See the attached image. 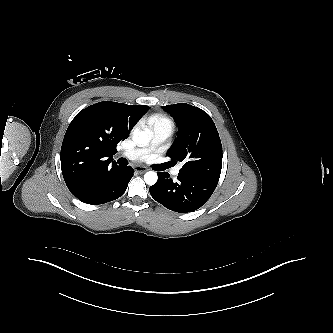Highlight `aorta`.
I'll return each mask as SVG.
<instances>
[{
    "instance_id": "aorta-1",
    "label": "aorta",
    "mask_w": 333,
    "mask_h": 333,
    "mask_svg": "<svg viewBox=\"0 0 333 333\" xmlns=\"http://www.w3.org/2000/svg\"><path fill=\"white\" fill-rule=\"evenodd\" d=\"M150 136L147 132L136 129L133 132V141L139 146H146L149 143ZM158 176L154 171L145 173L144 180L147 185H154L157 182Z\"/></svg>"
}]
</instances>
